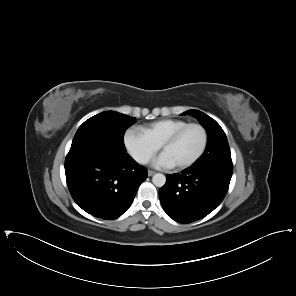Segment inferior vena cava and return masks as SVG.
<instances>
[{
	"label": "inferior vena cava",
	"mask_w": 296,
	"mask_h": 296,
	"mask_svg": "<svg viewBox=\"0 0 296 296\" xmlns=\"http://www.w3.org/2000/svg\"><path fill=\"white\" fill-rule=\"evenodd\" d=\"M134 159L140 164H147L149 162L150 156L143 153H136Z\"/></svg>",
	"instance_id": "inferior-vena-cava-1"
}]
</instances>
